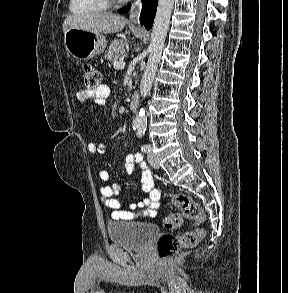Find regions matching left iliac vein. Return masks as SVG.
Returning <instances> with one entry per match:
<instances>
[{
    "label": "left iliac vein",
    "mask_w": 288,
    "mask_h": 293,
    "mask_svg": "<svg viewBox=\"0 0 288 293\" xmlns=\"http://www.w3.org/2000/svg\"><path fill=\"white\" fill-rule=\"evenodd\" d=\"M147 160L153 168H156V169L159 168L158 160L156 159L155 155L151 151L148 152L147 154Z\"/></svg>",
    "instance_id": "left-iliac-vein-1"
}]
</instances>
